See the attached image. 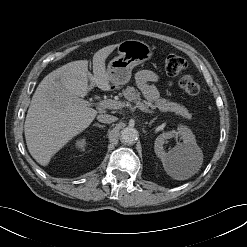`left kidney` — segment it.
<instances>
[{"mask_svg": "<svg viewBox=\"0 0 247 247\" xmlns=\"http://www.w3.org/2000/svg\"><path fill=\"white\" fill-rule=\"evenodd\" d=\"M180 137L183 142L177 143L170 151L165 152L163 145L171 138ZM154 150L156 155L163 163L180 161L184 159L191 160L199 152L195 136L186 126H180L177 132L170 131L159 135L155 140Z\"/></svg>", "mask_w": 247, "mask_h": 247, "instance_id": "obj_1", "label": "left kidney"}]
</instances>
